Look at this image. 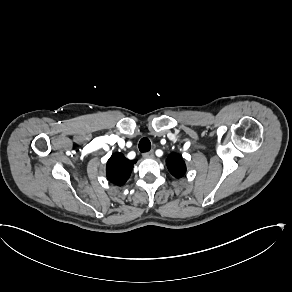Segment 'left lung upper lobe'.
<instances>
[{
	"mask_svg": "<svg viewBox=\"0 0 292 292\" xmlns=\"http://www.w3.org/2000/svg\"><path fill=\"white\" fill-rule=\"evenodd\" d=\"M166 165L169 172L176 178H181L186 173V164L182 157L177 153H171L168 156Z\"/></svg>",
	"mask_w": 292,
	"mask_h": 292,
	"instance_id": "5c2ea615",
	"label": "left lung upper lobe"
}]
</instances>
